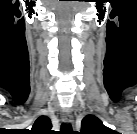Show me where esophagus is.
<instances>
[{"mask_svg": "<svg viewBox=\"0 0 137 134\" xmlns=\"http://www.w3.org/2000/svg\"><path fill=\"white\" fill-rule=\"evenodd\" d=\"M62 120L67 124L73 123V117L70 111L64 110L62 113Z\"/></svg>", "mask_w": 137, "mask_h": 134, "instance_id": "esophagus-1", "label": "esophagus"}]
</instances>
